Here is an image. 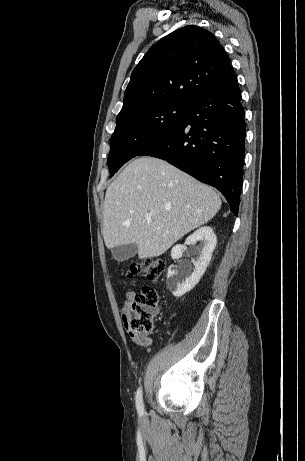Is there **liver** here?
Listing matches in <instances>:
<instances>
[{"label": "liver", "mask_w": 305, "mask_h": 461, "mask_svg": "<svg viewBox=\"0 0 305 461\" xmlns=\"http://www.w3.org/2000/svg\"><path fill=\"white\" fill-rule=\"evenodd\" d=\"M219 195L171 164L136 158L109 185L102 233L108 249L136 244L140 259L166 252L185 234L211 220ZM151 214V220L145 219Z\"/></svg>", "instance_id": "liver-1"}]
</instances>
